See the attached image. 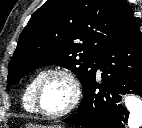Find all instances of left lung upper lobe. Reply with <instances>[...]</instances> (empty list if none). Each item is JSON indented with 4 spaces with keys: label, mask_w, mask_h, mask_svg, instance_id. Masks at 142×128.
Segmentation results:
<instances>
[{
    "label": "left lung upper lobe",
    "mask_w": 142,
    "mask_h": 128,
    "mask_svg": "<svg viewBox=\"0 0 142 128\" xmlns=\"http://www.w3.org/2000/svg\"><path fill=\"white\" fill-rule=\"evenodd\" d=\"M137 29L126 0H47L20 34L7 86L55 64L74 72L84 91L105 50Z\"/></svg>",
    "instance_id": "1"
}]
</instances>
